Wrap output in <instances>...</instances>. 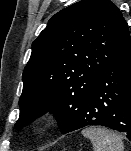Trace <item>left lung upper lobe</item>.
<instances>
[{
  "label": "left lung upper lobe",
  "mask_w": 131,
  "mask_h": 151,
  "mask_svg": "<svg viewBox=\"0 0 131 151\" xmlns=\"http://www.w3.org/2000/svg\"><path fill=\"white\" fill-rule=\"evenodd\" d=\"M130 49L128 25L110 0H81L55 14L32 44L15 127L50 111L66 133L100 74Z\"/></svg>",
  "instance_id": "1"
}]
</instances>
